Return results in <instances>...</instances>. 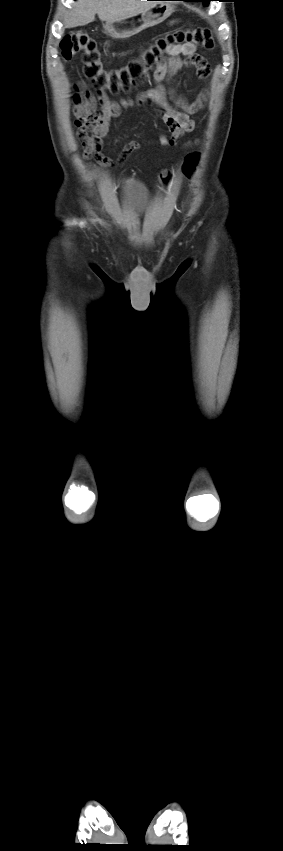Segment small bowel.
<instances>
[{
    "instance_id": "obj_1",
    "label": "small bowel",
    "mask_w": 283,
    "mask_h": 851,
    "mask_svg": "<svg viewBox=\"0 0 283 851\" xmlns=\"http://www.w3.org/2000/svg\"><path fill=\"white\" fill-rule=\"evenodd\" d=\"M184 56L185 58H182ZM194 66L201 78H206L210 68L203 56L198 54L196 46L192 44L171 46L167 57L160 63L154 73L156 87L141 95L136 103L132 100L111 101L104 91L98 92L101 110L95 111L97 99L87 88L84 82L75 87L72 95L73 113L76 117L77 137L81 140L84 148L83 155L86 159H94L102 166H112L110 158L102 154L103 138L107 135L110 120L120 115L123 109L150 102L160 110V117L168 128L171 136L159 134V141L163 146H173L188 132L195 129V123L190 119L205 106L207 100L206 91L200 92L193 102H188L184 97L178 96L175 91L162 83L169 80L180 70ZM88 130L92 134L88 135ZM191 144V143H190ZM188 144V145H190ZM138 149L136 142L126 145L119 156V161Z\"/></svg>"
}]
</instances>
